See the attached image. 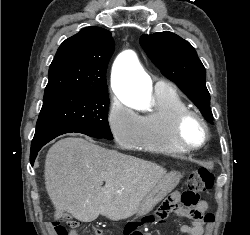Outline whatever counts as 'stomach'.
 <instances>
[{"label":"stomach","instance_id":"obj_1","mask_svg":"<svg viewBox=\"0 0 250 235\" xmlns=\"http://www.w3.org/2000/svg\"><path fill=\"white\" fill-rule=\"evenodd\" d=\"M179 172H170L161 178L158 183L140 201L136 215L144 216L149 213L156 204L163 200L180 182Z\"/></svg>","mask_w":250,"mask_h":235}]
</instances>
